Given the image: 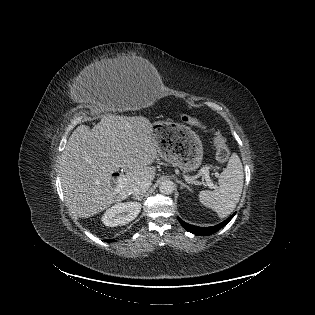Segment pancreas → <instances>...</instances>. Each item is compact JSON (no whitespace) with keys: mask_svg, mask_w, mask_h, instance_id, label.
Returning <instances> with one entry per match:
<instances>
[{"mask_svg":"<svg viewBox=\"0 0 315 315\" xmlns=\"http://www.w3.org/2000/svg\"><path fill=\"white\" fill-rule=\"evenodd\" d=\"M204 169L209 170V169H211V167L205 166Z\"/></svg>","mask_w":315,"mask_h":315,"instance_id":"obj_1","label":"pancreas"}]
</instances>
